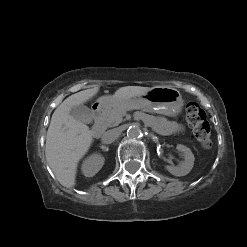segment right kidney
Segmentation results:
<instances>
[{"label": "right kidney", "mask_w": 247, "mask_h": 247, "mask_svg": "<svg viewBox=\"0 0 247 247\" xmlns=\"http://www.w3.org/2000/svg\"><path fill=\"white\" fill-rule=\"evenodd\" d=\"M104 157L100 154H92L84 160L81 170L84 176L93 177L104 165Z\"/></svg>", "instance_id": "ca27d5eb"}]
</instances>
